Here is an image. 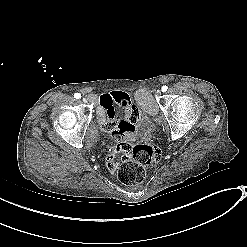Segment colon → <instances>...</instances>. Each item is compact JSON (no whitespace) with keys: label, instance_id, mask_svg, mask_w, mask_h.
<instances>
[{"label":"colon","instance_id":"obj_1","mask_svg":"<svg viewBox=\"0 0 247 247\" xmlns=\"http://www.w3.org/2000/svg\"><path fill=\"white\" fill-rule=\"evenodd\" d=\"M160 156L159 148L149 141L126 148L120 161L118 179L125 185H139L148 169L159 162Z\"/></svg>","mask_w":247,"mask_h":247}]
</instances>
